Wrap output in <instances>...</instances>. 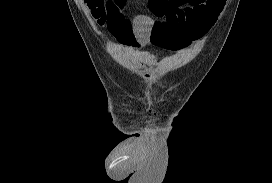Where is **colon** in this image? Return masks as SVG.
Listing matches in <instances>:
<instances>
[{"instance_id":"obj_1","label":"colon","mask_w":272,"mask_h":183,"mask_svg":"<svg viewBox=\"0 0 272 183\" xmlns=\"http://www.w3.org/2000/svg\"><path fill=\"white\" fill-rule=\"evenodd\" d=\"M179 1V0H178ZM86 5L91 10L93 17L101 24L109 26L110 21L107 16V0H85ZM118 14H122L121 6H117Z\"/></svg>"}]
</instances>
